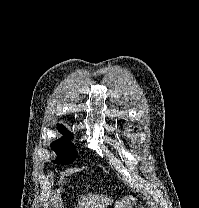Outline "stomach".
Returning <instances> with one entry per match:
<instances>
[{"label": "stomach", "instance_id": "1", "mask_svg": "<svg viewBox=\"0 0 199 208\" xmlns=\"http://www.w3.org/2000/svg\"><path fill=\"white\" fill-rule=\"evenodd\" d=\"M137 198L133 195H125L118 198L114 203V208H133L136 205Z\"/></svg>", "mask_w": 199, "mask_h": 208}]
</instances>
